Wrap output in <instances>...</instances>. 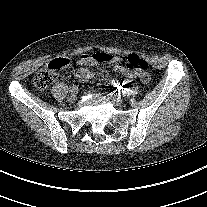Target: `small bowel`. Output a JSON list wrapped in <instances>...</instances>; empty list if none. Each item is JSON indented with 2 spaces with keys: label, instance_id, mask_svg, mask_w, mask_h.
<instances>
[{
  "label": "small bowel",
  "instance_id": "small-bowel-1",
  "mask_svg": "<svg viewBox=\"0 0 207 207\" xmlns=\"http://www.w3.org/2000/svg\"><path fill=\"white\" fill-rule=\"evenodd\" d=\"M103 62L97 61L93 55H82L78 59V64L81 66L80 68H77L75 71V75L84 80L87 81L92 78V69L99 66ZM107 64L113 65V68L116 72L120 74H124L128 77H134L135 74L131 71H129L127 68L123 66L120 59L116 56H113V59L109 62H105ZM140 80L143 84H147L149 82V76L148 75H142L140 76Z\"/></svg>",
  "mask_w": 207,
  "mask_h": 207
}]
</instances>
